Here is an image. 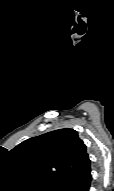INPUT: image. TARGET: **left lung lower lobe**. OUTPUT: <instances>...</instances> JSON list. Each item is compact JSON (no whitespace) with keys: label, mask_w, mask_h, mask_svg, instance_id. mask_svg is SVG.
Instances as JSON below:
<instances>
[{"label":"left lung lower lobe","mask_w":114,"mask_h":191,"mask_svg":"<svg viewBox=\"0 0 114 191\" xmlns=\"http://www.w3.org/2000/svg\"><path fill=\"white\" fill-rule=\"evenodd\" d=\"M91 183L90 160L62 191H89Z\"/></svg>","instance_id":"0a47b994"}]
</instances>
